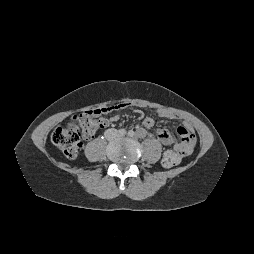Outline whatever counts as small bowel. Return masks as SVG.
<instances>
[{"label":"small bowel","mask_w":254,"mask_h":254,"mask_svg":"<svg viewBox=\"0 0 254 254\" xmlns=\"http://www.w3.org/2000/svg\"><path fill=\"white\" fill-rule=\"evenodd\" d=\"M130 104L128 103H121L115 107H106L102 108L105 109L101 114H108L113 110H120V109H125L128 108ZM159 116L166 118V119H178L179 116L176 113H173L169 110L166 109H159L158 110ZM119 117L118 115H114L110 118H100L98 120V127L97 128H106L113 122L118 121ZM155 122L152 118L146 117L143 120V126L145 128H152L154 126ZM177 132L180 136V140L176 141L174 135L167 129H159L157 131V137L159 141L164 144V145H173L174 151L178 152L181 156H189L193 152V148L195 145V134L192 129V127L184 123L183 125L179 126L177 129ZM172 150H168L164 153L163 155V165L165 167H172L168 166L164 163V158L166 155L171 152Z\"/></svg>","instance_id":"1"}]
</instances>
